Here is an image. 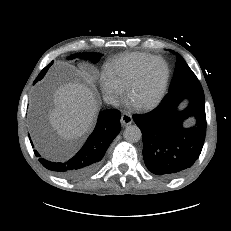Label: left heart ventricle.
<instances>
[{
	"mask_svg": "<svg viewBox=\"0 0 231 231\" xmlns=\"http://www.w3.org/2000/svg\"><path fill=\"white\" fill-rule=\"evenodd\" d=\"M164 76V66L161 62H153L146 70L144 77L135 89L132 101L136 104L151 100L157 93Z\"/></svg>",
	"mask_w": 231,
	"mask_h": 231,
	"instance_id": "obj_1",
	"label": "left heart ventricle"
}]
</instances>
